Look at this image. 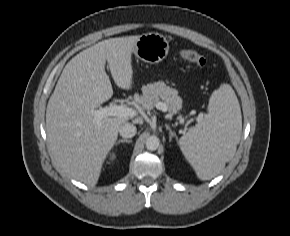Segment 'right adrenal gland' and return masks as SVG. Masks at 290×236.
<instances>
[{"mask_svg":"<svg viewBox=\"0 0 290 236\" xmlns=\"http://www.w3.org/2000/svg\"><path fill=\"white\" fill-rule=\"evenodd\" d=\"M131 143L132 142V140H130V139H119L115 144L116 145H118V144H120V143Z\"/></svg>","mask_w":290,"mask_h":236,"instance_id":"right-adrenal-gland-1","label":"right adrenal gland"}]
</instances>
